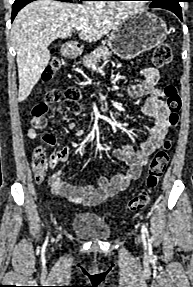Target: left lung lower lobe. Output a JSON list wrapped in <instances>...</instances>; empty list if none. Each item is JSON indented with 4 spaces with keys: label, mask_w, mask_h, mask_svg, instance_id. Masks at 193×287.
Here are the masks:
<instances>
[{
    "label": "left lung lower lobe",
    "mask_w": 193,
    "mask_h": 287,
    "mask_svg": "<svg viewBox=\"0 0 193 287\" xmlns=\"http://www.w3.org/2000/svg\"><path fill=\"white\" fill-rule=\"evenodd\" d=\"M159 8L167 9V10L174 12L182 21V10H181L179 3H171V4L161 5V6H159Z\"/></svg>",
    "instance_id": "left-lung-lower-lobe-1"
}]
</instances>
